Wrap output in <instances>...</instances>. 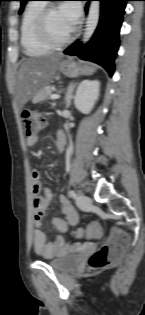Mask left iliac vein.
Here are the masks:
<instances>
[{
  "mask_svg": "<svg viewBox=\"0 0 145 315\" xmlns=\"http://www.w3.org/2000/svg\"><path fill=\"white\" fill-rule=\"evenodd\" d=\"M76 203L80 208H87L92 204V201L87 195L81 194L77 197Z\"/></svg>",
  "mask_w": 145,
  "mask_h": 315,
  "instance_id": "obj_1",
  "label": "left iliac vein"
}]
</instances>
